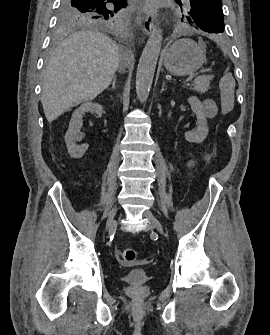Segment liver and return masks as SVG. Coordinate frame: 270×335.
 Wrapping results in <instances>:
<instances>
[{
  "label": "liver",
  "mask_w": 270,
  "mask_h": 335,
  "mask_svg": "<svg viewBox=\"0 0 270 335\" xmlns=\"http://www.w3.org/2000/svg\"><path fill=\"white\" fill-rule=\"evenodd\" d=\"M122 56L123 48L100 32L81 30L61 42L43 76L41 104L48 122L106 90Z\"/></svg>",
  "instance_id": "6515ba94"
}]
</instances>
